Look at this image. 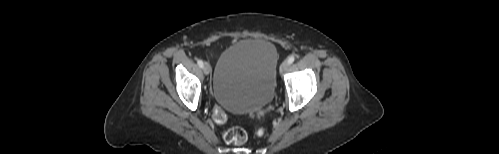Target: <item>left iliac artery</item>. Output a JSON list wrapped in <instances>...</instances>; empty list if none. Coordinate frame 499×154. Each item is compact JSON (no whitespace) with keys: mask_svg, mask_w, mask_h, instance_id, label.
<instances>
[{"mask_svg":"<svg viewBox=\"0 0 499 154\" xmlns=\"http://www.w3.org/2000/svg\"><path fill=\"white\" fill-rule=\"evenodd\" d=\"M294 60H295V57H294V56H290V57L288 58V63H289V65H290V64H292V63L294 62Z\"/></svg>","mask_w":499,"mask_h":154,"instance_id":"obj_1","label":"left iliac artery"}]
</instances>
